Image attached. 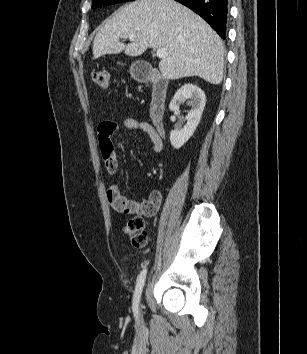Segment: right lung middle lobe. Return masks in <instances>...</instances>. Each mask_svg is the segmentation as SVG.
Returning a JSON list of instances; mask_svg holds the SVG:
<instances>
[{
    "instance_id": "dd1d6c3e",
    "label": "right lung middle lobe",
    "mask_w": 307,
    "mask_h": 354,
    "mask_svg": "<svg viewBox=\"0 0 307 354\" xmlns=\"http://www.w3.org/2000/svg\"><path fill=\"white\" fill-rule=\"evenodd\" d=\"M127 1H134V0H93L92 1V8L100 7L102 5H110L120 2H127Z\"/></svg>"
}]
</instances>
